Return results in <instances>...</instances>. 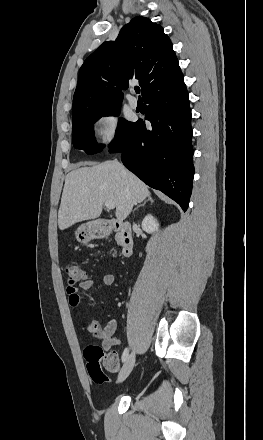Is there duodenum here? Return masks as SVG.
<instances>
[{"label": "duodenum", "mask_w": 263, "mask_h": 440, "mask_svg": "<svg viewBox=\"0 0 263 440\" xmlns=\"http://www.w3.org/2000/svg\"><path fill=\"white\" fill-rule=\"evenodd\" d=\"M113 231L118 233L122 256L125 258L131 256L134 249V240L130 223L108 219L102 226V234L107 235Z\"/></svg>", "instance_id": "1"}]
</instances>
